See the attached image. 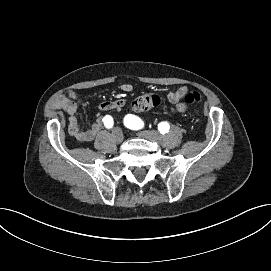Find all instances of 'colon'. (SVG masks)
Returning a JSON list of instances; mask_svg holds the SVG:
<instances>
[{"mask_svg":"<svg viewBox=\"0 0 271 271\" xmlns=\"http://www.w3.org/2000/svg\"><path fill=\"white\" fill-rule=\"evenodd\" d=\"M162 97L158 93L148 92L138 96L132 103H131V110L133 112H144L155 108L160 105ZM200 100V94L197 91L189 92L184 101L187 104H192L198 102Z\"/></svg>","mask_w":271,"mask_h":271,"instance_id":"5ec220e1","label":"colon"}]
</instances>
